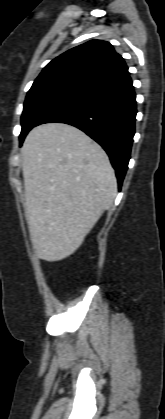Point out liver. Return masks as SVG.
I'll return each mask as SVG.
<instances>
[{
    "label": "liver",
    "mask_w": 165,
    "mask_h": 419,
    "mask_svg": "<svg viewBox=\"0 0 165 419\" xmlns=\"http://www.w3.org/2000/svg\"><path fill=\"white\" fill-rule=\"evenodd\" d=\"M25 214L38 258L59 261L83 243L117 193L105 151L63 123L33 128L21 149Z\"/></svg>",
    "instance_id": "6515ba94"
}]
</instances>
